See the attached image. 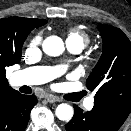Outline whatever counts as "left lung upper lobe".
<instances>
[{"mask_svg": "<svg viewBox=\"0 0 131 131\" xmlns=\"http://www.w3.org/2000/svg\"><path fill=\"white\" fill-rule=\"evenodd\" d=\"M103 39L102 56L87 79L97 89L94 107L118 126L131 112V42L118 28L99 25Z\"/></svg>", "mask_w": 131, "mask_h": 131, "instance_id": "left-lung-upper-lobe-1", "label": "left lung upper lobe"}]
</instances>
